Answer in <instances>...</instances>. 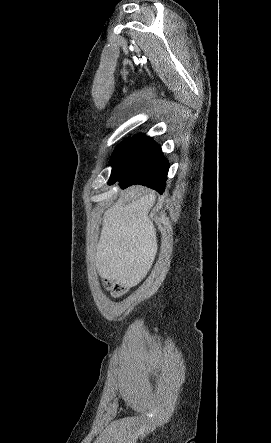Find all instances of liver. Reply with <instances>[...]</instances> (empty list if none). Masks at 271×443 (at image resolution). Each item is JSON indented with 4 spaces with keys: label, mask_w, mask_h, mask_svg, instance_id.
Returning <instances> with one entry per match:
<instances>
[{
    "label": "liver",
    "mask_w": 271,
    "mask_h": 443,
    "mask_svg": "<svg viewBox=\"0 0 271 443\" xmlns=\"http://www.w3.org/2000/svg\"><path fill=\"white\" fill-rule=\"evenodd\" d=\"M155 192L132 186L104 212L95 263L100 277L133 287L146 277L158 249L155 225L148 218Z\"/></svg>",
    "instance_id": "1"
}]
</instances>
